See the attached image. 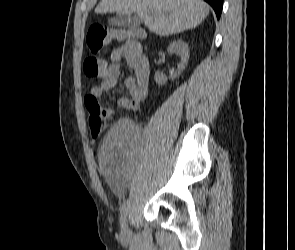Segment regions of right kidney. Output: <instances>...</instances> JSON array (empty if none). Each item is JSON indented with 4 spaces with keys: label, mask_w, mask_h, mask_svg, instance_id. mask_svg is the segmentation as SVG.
Instances as JSON below:
<instances>
[{
    "label": "right kidney",
    "mask_w": 295,
    "mask_h": 250,
    "mask_svg": "<svg viewBox=\"0 0 295 250\" xmlns=\"http://www.w3.org/2000/svg\"><path fill=\"white\" fill-rule=\"evenodd\" d=\"M167 52L169 54H177L178 56H180L181 61L178 65L177 70L175 71V73L171 76V79H175L186 67L188 60H189V47L188 44L183 41V40H177L172 42L168 49ZM154 79L156 81V83L160 86L166 84L167 82V77L161 73V72H156L154 75Z\"/></svg>",
    "instance_id": "ca27d5eb"
}]
</instances>
